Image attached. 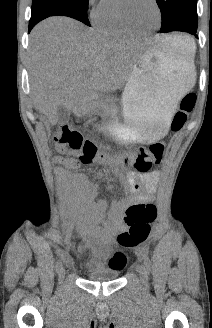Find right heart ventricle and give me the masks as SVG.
I'll return each mask as SVG.
<instances>
[{
    "label": "right heart ventricle",
    "mask_w": 212,
    "mask_h": 328,
    "mask_svg": "<svg viewBox=\"0 0 212 328\" xmlns=\"http://www.w3.org/2000/svg\"><path fill=\"white\" fill-rule=\"evenodd\" d=\"M117 0H108L95 23L98 29L111 37L127 38L136 34L128 30L121 21Z\"/></svg>",
    "instance_id": "obj_1"
}]
</instances>
